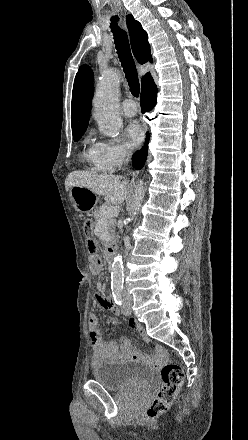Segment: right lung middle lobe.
<instances>
[{
	"label": "right lung middle lobe",
	"mask_w": 248,
	"mask_h": 440,
	"mask_svg": "<svg viewBox=\"0 0 248 440\" xmlns=\"http://www.w3.org/2000/svg\"><path fill=\"white\" fill-rule=\"evenodd\" d=\"M84 132H85V130L79 131V132H73V139H74V141H78L82 137Z\"/></svg>",
	"instance_id": "obj_1"
}]
</instances>
